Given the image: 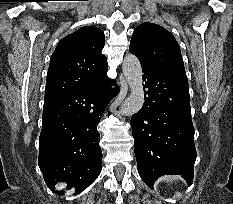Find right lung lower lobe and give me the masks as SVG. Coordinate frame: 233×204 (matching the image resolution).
<instances>
[{"mask_svg":"<svg viewBox=\"0 0 233 204\" xmlns=\"http://www.w3.org/2000/svg\"><path fill=\"white\" fill-rule=\"evenodd\" d=\"M112 82L106 69L86 87L44 102L39 167L51 190L55 185L52 179L58 177L79 193L100 174L102 151L97 124L118 93V88L111 89Z\"/></svg>","mask_w":233,"mask_h":204,"instance_id":"right-lung-lower-lobe-1","label":"right lung lower lobe"}]
</instances>
